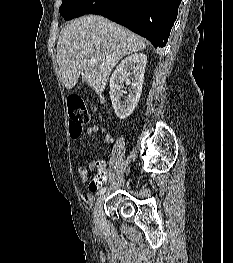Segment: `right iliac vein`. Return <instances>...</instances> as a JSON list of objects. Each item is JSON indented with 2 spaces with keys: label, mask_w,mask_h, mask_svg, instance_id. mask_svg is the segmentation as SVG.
Here are the masks:
<instances>
[{
  "label": "right iliac vein",
  "mask_w": 233,
  "mask_h": 263,
  "mask_svg": "<svg viewBox=\"0 0 233 263\" xmlns=\"http://www.w3.org/2000/svg\"><path fill=\"white\" fill-rule=\"evenodd\" d=\"M104 195H101L96 202V205L94 207V222L96 225L100 226L103 221V203H104Z\"/></svg>",
  "instance_id": "63e3f726"
}]
</instances>
